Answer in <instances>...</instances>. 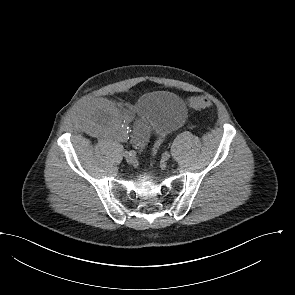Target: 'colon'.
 <instances>
[{
	"mask_svg": "<svg viewBox=\"0 0 295 295\" xmlns=\"http://www.w3.org/2000/svg\"><path fill=\"white\" fill-rule=\"evenodd\" d=\"M189 104L194 108H209L212 106V102L207 97H193L189 99Z\"/></svg>",
	"mask_w": 295,
	"mask_h": 295,
	"instance_id": "colon-1",
	"label": "colon"
}]
</instances>
